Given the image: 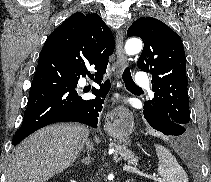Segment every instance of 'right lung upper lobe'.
I'll list each match as a JSON object with an SVG mask.
<instances>
[{
	"label": "right lung upper lobe",
	"instance_id": "cb5924a9",
	"mask_svg": "<svg viewBox=\"0 0 211 182\" xmlns=\"http://www.w3.org/2000/svg\"><path fill=\"white\" fill-rule=\"evenodd\" d=\"M64 24L83 51L94 53L101 65L108 63L115 47L114 37L98 14L77 12L60 26Z\"/></svg>",
	"mask_w": 211,
	"mask_h": 182
}]
</instances>
